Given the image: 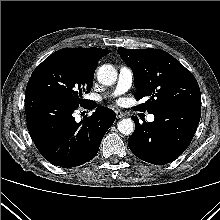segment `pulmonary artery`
<instances>
[{"mask_svg":"<svg viewBox=\"0 0 220 220\" xmlns=\"http://www.w3.org/2000/svg\"><path fill=\"white\" fill-rule=\"evenodd\" d=\"M133 83V72L129 67L121 66L118 72V80L113 94L119 95L128 91ZM147 121H154V115L150 114L147 117Z\"/></svg>","mask_w":220,"mask_h":220,"instance_id":"pulmonary-artery-1","label":"pulmonary artery"}]
</instances>
